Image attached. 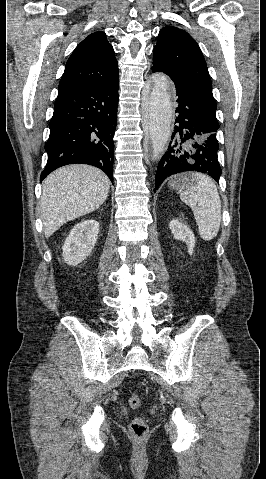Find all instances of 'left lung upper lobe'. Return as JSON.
I'll use <instances>...</instances> for the list:
<instances>
[{
    "instance_id": "1",
    "label": "left lung upper lobe",
    "mask_w": 266,
    "mask_h": 479,
    "mask_svg": "<svg viewBox=\"0 0 266 479\" xmlns=\"http://www.w3.org/2000/svg\"><path fill=\"white\" fill-rule=\"evenodd\" d=\"M152 68L217 109L206 61L197 42L186 31L173 26L160 30Z\"/></svg>"
}]
</instances>
